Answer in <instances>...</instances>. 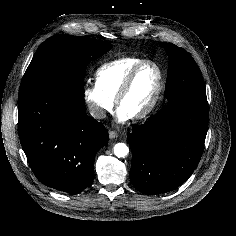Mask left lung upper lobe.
Returning <instances> with one entry per match:
<instances>
[{
  "mask_svg": "<svg viewBox=\"0 0 236 236\" xmlns=\"http://www.w3.org/2000/svg\"><path fill=\"white\" fill-rule=\"evenodd\" d=\"M160 45L169 56V68L165 87V96L168 101L191 95H206L201 71L184 49L171 43Z\"/></svg>",
  "mask_w": 236,
  "mask_h": 236,
  "instance_id": "obj_1",
  "label": "left lung upper lobe"
}]
</instances>
